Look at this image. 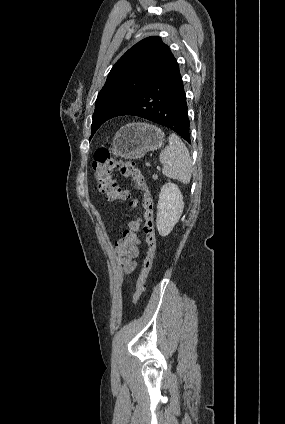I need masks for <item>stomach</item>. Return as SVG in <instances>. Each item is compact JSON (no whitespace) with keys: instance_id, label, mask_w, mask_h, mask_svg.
Listing matches in <instances>:
<instances>
[{"instance_id":"obj_1","label":"stomach","mask_w":285,"mask_h":424,"mask_svg":"<svg viewBox=\"0 0 285 424\" xmlns=\"http://www.w3.org/2000/svg\"><path fill=\"white\" fill-rule=\"evenodd\" d=\"M164 132L146 123H130L116 133L111 151L125 159L142 158L148 151L162 147Z\"/></svg>"}]
</instances>
